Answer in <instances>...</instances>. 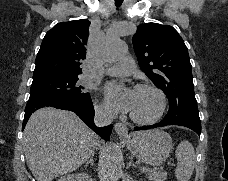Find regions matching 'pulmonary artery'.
Instances as JSON below:
<instances>
[{
	"label": "pulmonary artery",
	"instance_id": "1",
	"mask_svg": "<svg viewBox=\"0 0 228 181\" xmlns=\"http://www.w3.org/2000/svg\"><path fill=\"white\" fill-rule=\"evenodd\" d=\"M108 41H112V40L109 39ZM121 62H123V65H113L112 66V69L114 72H116L117 70H125V71H136L137 70L136 62H132V57L121 58Z\"/></svg>",
	"mask_w": 228,
	"mask_h": 181
}]
</instances>
